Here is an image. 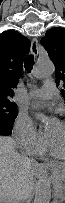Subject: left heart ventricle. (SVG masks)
Returning a JSON list of instances; mask_svg holds the SVG:
<instances>
[{
	"label": "left heart ventricle",
	"mask_w": 65,
	"mask_h": 203,
	"mask_svg": "<svg viewBox=\"0 0 65 203\" xmlns=\"http://www.w3.org/2000/svg\"><path fill=\"white\" fill-rule=\"evenodd\" d=\"M47 136L58 153L65 152V125L53 123L47 130Z\"/></svg>",
	"instance_id": "left-heart-ventricle-1"
}]
</instances>
